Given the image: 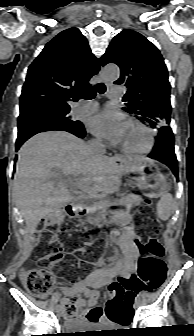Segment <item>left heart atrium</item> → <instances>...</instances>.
<instances>
[{
    "label": "left heart atrium",
    "instance_id": "left-heart-atrium-1",
    "mask_svg": "<svg viewBox=\"0 0 194 336\" xmlns=\"http://www.w3.org/2000/svg\"><path fill=\"white\" fill-rule=\"evenodd\" d=\"M126 125L125 116L110 108L100 111L89 121V129L93 134L113 143L121 142Z\"/></svg>",
    "mask_w": 194,
    "mask_h": 336
}]
</instances>
